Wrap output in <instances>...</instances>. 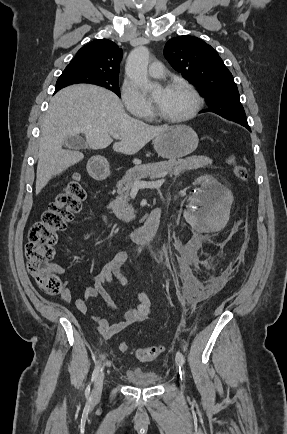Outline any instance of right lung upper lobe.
Here are the masks:
<instances>
[{
    "label": "right lung upper lobe",
    "mask_w": 287,
    "mask_h": 434,
    "mask_svg": "<svg viewBox=\"0 0 287 434\" xmlns=\"http://www.w3.org/2000/svg\"><path fill=\"white\" fill-rule=\"evenodd\" d=\"M123 51L108 39L92 41L82 47L65 69L91 76L118 77ZM62 89L56 87L55 92Z\"/></svg>",
    "instance_id": "right-lung-upper-lobe-1"
}]
</instances>
